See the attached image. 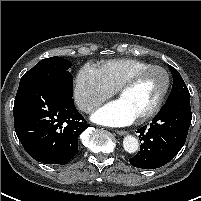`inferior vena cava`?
<instances>
[{
	"mask_svg": "<svg viewBox=\"0 0 201 201\" xmlns=\"http://www.w3.org/2000/svg\"><path fill=\"white\" fill-rule=\"evenodd\" d=\"M96 106L95 105H87V106H84L82 109L86 112H90L92 111L93 109H95Z\"/></svg>",
	"mask_w": 201,
	"mask_h": 201,
	"instance_id": "obj_1",
	"label": "inferior vena cava"
}]
</instances>
